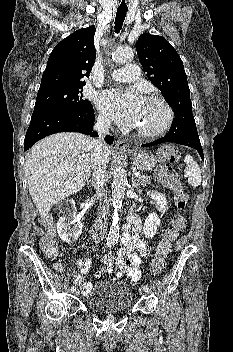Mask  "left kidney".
Wrapping results in <instances>:
<instances>
[{
  "label": "left kidney",
  "mask_w": 233,
  "mask_h": 352,
  "mask_svg": "<svg viewBox=\"0 0 233 352\" xmlns=\"http://www.w3.org/2000/svg\"><path fill=\"white\" fill-rule=\"evenodd\" d=\"M160 218L156 213H150L145 219L143 231L146 238H152L157 233V228L160 226Z\"/></svg>",
  "instance_id": "obj_1"
}]
</instances>
